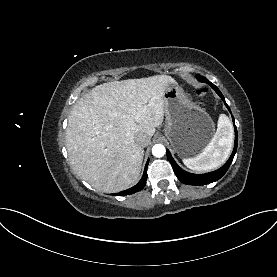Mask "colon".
I'll return each mask as SVG.
<instances>
[{"label": "colon", "mask_w": 277, "mask_h": 277, "mask_svg": "<svg viewBox=\"0 0 277 277\" xmlns=\"http://www.w3.org/2000/svg\"><path fill=\"white\" fill-rule=\"evenodd\" d=\"M205 94H206V91H205L204 89H197V90H196V95H197V97L202 98V97L205 96Z\"/></svg>", "instance_id": "obj_1"}]
</instances>
